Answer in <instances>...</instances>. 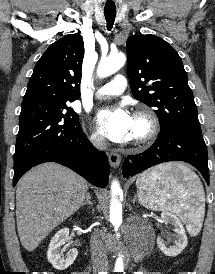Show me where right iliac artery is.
Instances as JSON below:
<instances>
[{
  "instance_id": "1",
  "label": "right iliac artery",
  "mask_w": 215,
  "mask_h": 274,
  "mask_svg": "<svg viewBox=\"0 0 215 274\" xmlns=\"http://www.w3.org/2000/svg\"><path fill=\"white\" fill-rule=\"evenodd\" d=\"M99 274H107V272H99Z\"/></svg>"
}]
</instances>
